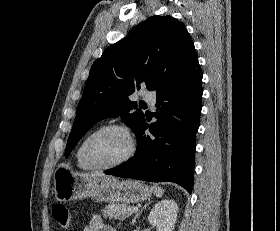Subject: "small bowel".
<instances>
[{
  "mask_svg": "<svg viewBox=\"0 0 280 231\" xmlns=\"http://www.w3.org/2000/svg\"><path fill=\"white\" fill-rule=\"evenodd\" d=\"M83 231H114V228L107 226L99 215H93Z\"/></svg>",
  "mask_w": 280,
  "mask_h": 231,
  "instance_id": "small-bowel-1",
  "label": "small bowel"
}]
</instances>
